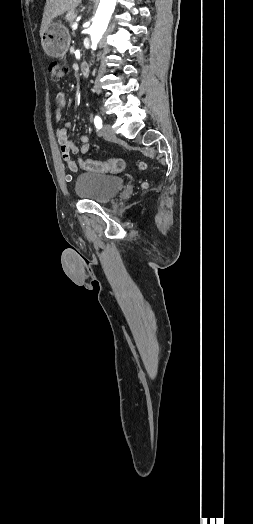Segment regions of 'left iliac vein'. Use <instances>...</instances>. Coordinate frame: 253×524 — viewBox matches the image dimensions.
Returning a JSON list of instances; mask_svg holds the SVG:
<instances>
[{"label":"left iliac vein","instance_id":"obj_1","mask_svg":"<svg viewBox=\"0 0 253 524\" xmlns=\"http://www.w3.org/2000/svg\"><path fill=\"white\" fill-rule=\"evenodd\" d=\"M102 136L104 139L111 140L115 138V132L112 128V126L108 123H106L102 128Z\"/></svg>","mask_w":253,"mask_h":524}]
</instances>
